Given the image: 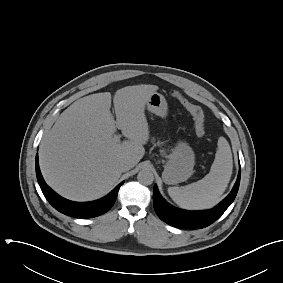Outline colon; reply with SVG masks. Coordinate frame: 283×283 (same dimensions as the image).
<instances>
[{
	"label": "colon",
	"mask_w": 283,
	"mask_h": 283,
	"mask_svg": "<svg viewBox=\"0 0 283 283\" xmlns=\"http://www.w3.org/2000/svg\"><path fill=\"white\" fill-rule=\"evenodd\" d=\"M172 96L178 99L180 103L183 105V107L192 116L194 120L196 133L199 136H203L205 134V115L202 109L199 106L192 103L191 101H189L178 91H173Z\"/></svg>",
	"instance_id": "colon-1"
}]
</instances>
